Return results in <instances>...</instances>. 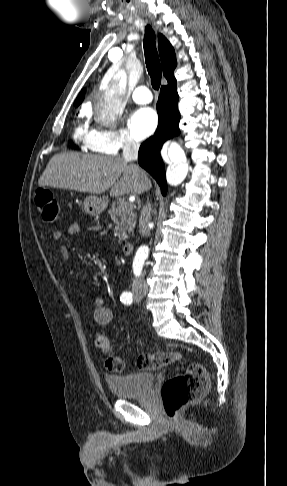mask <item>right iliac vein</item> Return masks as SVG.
Segmentation results:
<instances>
[{"label":"right iliac vein","instance_id":"1","mask_svg":"<svg viewBox=\"0 0 287 486\" xmlns=\"http://www.w3.org/2000/svg\"><path fill=\"white\" fill-rule=\"evenodd\" d=\"M136 297L142 299L144 297V292H136Z\"/></svg>","mask_w":287,"mask_h":486}]
</instances>
